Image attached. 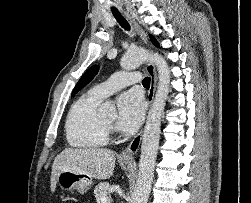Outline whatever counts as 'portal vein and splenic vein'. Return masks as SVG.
Wrapping results in <instances>:
<instances>
[{
	"label": "portal vein and splenic vein",
	"instance_id": "1",
	"mask_svg": "<svg viewBox=\"0 0 251 203\" xmlns=\"http://www.w3.org/2000/svg\"><path fill=\"white\" fill-rule=\"evenodd\" d=\"M101 203H110V199L108 197H103Z\"/></svg>",
	"mask_w": 251,
	"mask_h": 203
}]
</instances>
